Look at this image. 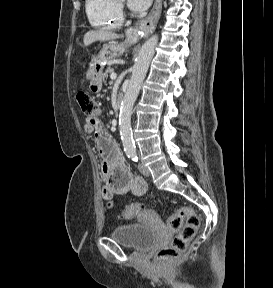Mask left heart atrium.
Returning <instances> with one entry per match:
<instances>
[{"instance_id":"1","label":"left heart atrium","mask_w":273,"mask_h":288,"mask_svg":"<svg viewBox=\"0 0 273 288\" xmlns=\"http://www.w3.org/2000/svg\"><path fill=\"white\" fill-rule=\"evenodd\" d=\"M152 0H128V6L135 12H142L146 10Z\"/></svg>"}]
</instances>
